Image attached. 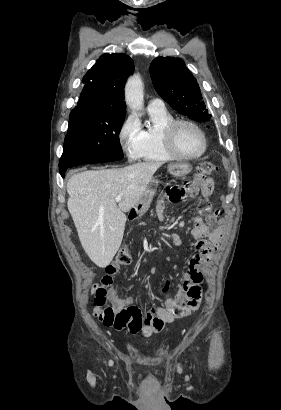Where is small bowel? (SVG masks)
Wrapping results in <instances>:
<instances>
[{"label":"small bowel","instance_id":"c3829d8e","mask_svg":"<svg viewBox=\"0 0 281 410\" xmlns=\"http://www.w3.org/2000/svg\"><path fill=\"white\" fill-rule=\"evenodd\" d=\"M200 192L203 198H208L213 192V180L202 175H196L192 195ZM167 200L163 199L156 206L157 217L160 221L164 220ZM190 234L198 240L197 254L188 262L187 270L183 274L180 289L173 296L166 294L165 306L154 307L146 315L145 319L140 315L139 325L135 330H130L132 334L141 333L148 337L153 333L160 332L166 323L171 322L175 317L185 315L192 309L189 306L191 296H197L201 300L200 284L203 281L201 267L206 265L215 255L221 241L222 231L216 219V216L209 213L207 209L198 207L192 219ZM120 265L116 263L109 264L102 278V287L104 294L96 297L94 313L97 314L105 308L106 297L111 300V308L117 312H127L129 310L139 309L133 305L131 297L124 298L118 296L113 288L114 276L119 272ZM169 288V281L165 283L162 292L166 293ZM133 319L130 318V321Z\"/></svg>","mask_w":281,"mask_h":410}]
</instances>
